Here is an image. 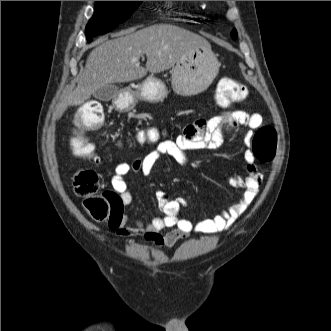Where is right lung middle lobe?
<instances>
[{
    "instance_id": "1",
    "label": "right lung middle lobe",
    "mask_w": 331,
    "mask_h": 331,
    "mask_svg": "<svg viewBox=\"0 0 331 331\" xmlns=\"http://www.w3.org/2000/svg\"><path fill=\"white\" fill-rule=\"evenodd\" d=\"M142 1H97L92 19L86 26L89 42L98 34L113 30L118 23L129 18Z\"/></svg>"
}]
</instances>
